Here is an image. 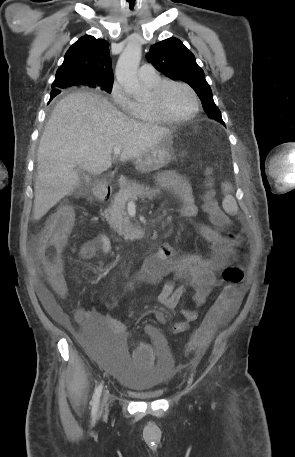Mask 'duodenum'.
Here are the masks:
<instances>
[{
	"label": "duodenum",
	"mask_w": 295,
	"mask_h": 457,
	"mask_svg": "<svg viewBox=\"0 0 295 457\" xmlns=\"http://www.w3.org/2000/svg\"><path fill=\"white\" fill-rule=\"evenodd\" d=\"M96 197L101 201H107L111 197V191L107 187H99L96 190Z\"/></svg>",
	"instance_id": "duodenum-1"
}]
</instances>
